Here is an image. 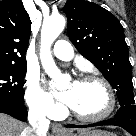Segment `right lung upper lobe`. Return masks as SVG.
<instances>
[{"label":"right lung upper lobe","mask_w":136,"mask_h":136,"mask_svg":"<svg viewBox=\"0 0 136 136\" xmlns=\"http://www.w3.org/2000/svg\"><path fill=\"white\" fill-rule=\"evenodd\" d=\"M31 21L20 0L0 1V65L26 64Z\"/></svg>","instance_id":"cb5924a9"}]
</instances>
